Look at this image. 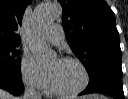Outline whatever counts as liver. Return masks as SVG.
Masks as SVG:
<instances>
[{"mask_svg":"<svg viewBox=\"0 0 128 99\" xmlns=\"http://www.w3.org/2000/svg\"><path fill=\"white\" fill-rule=\"evenodd\" d=\"M99 98H104V97L98 95H91L87 97V99H99ZM0 99H15V98L5 90L0 89Z\"/></svg>","mask_w":128,"mask_h":99,"instance_id":"1","label":"liver"}]
</instances>
